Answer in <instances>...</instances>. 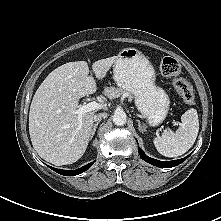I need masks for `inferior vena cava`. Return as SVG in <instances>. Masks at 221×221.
I'll use <instances>...</instances> for the list:
<instances>
[{"instance_id":"obj_1","label":"inferior vena cava","mask_w":221,"mask_h":221,"mask_svg":"<svg viewBox=\"0 0 221 221\" xmlns=\"http://www.w3.org/2000/svg\"><path fill=\"white\" fill-rule=\"evenodd\" d=\"M107 117V113H100L94 116V121L98 122L101 121L103 118Z\"/></svg>"}]
</instances>
